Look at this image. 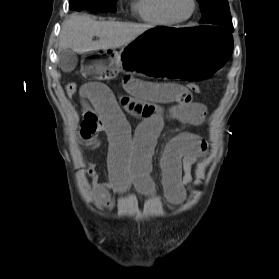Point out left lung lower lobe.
Wrapping results in <instances>:
<instances>
[{
	"label": "left lung lower lobe",
	"instance_id": "1",
	"mask_svg": "<svg viewBox=\"0 0 279 279\" xmlns=\"http://www.w3.org/2000/svg\"><path fill=\"white\" fill-rule=\"evenodd\" d=\"M225 27H227L230 31H234L233 29V25L232 23H226L225 25H223ZM228 33H230V31H228L227 29H225Z\"/></svg>",
	"mask_w": 279,
	"mask_h": 279
}]
</instances>
